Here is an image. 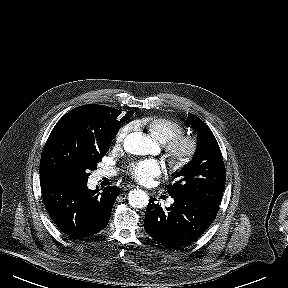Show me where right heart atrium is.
<instances>
[{
    "mask_svg": "<svg viewBox=\"0 0 288 288\" xmlns=\"http://www.w3.org/2000/svg\"><path fill=\"white\" fill-rule=\"evenodd\" d=\"M130 129H131L130 125H125L119 129L115 137V141L117 144H121L124 141Z\"/></svg>",
    "mask_w": 288,
    "mask_h": 288,
    "instance_id": "1",
    "label": "right heart atrium"
}]
</instances>
